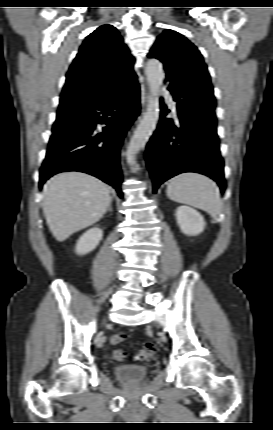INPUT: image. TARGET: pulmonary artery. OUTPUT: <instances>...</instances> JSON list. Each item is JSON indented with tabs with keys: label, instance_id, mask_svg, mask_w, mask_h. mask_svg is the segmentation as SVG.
Here are the masks:
<instances>
[{
	"label": "pulmonary artery",
	"instance_id": "obj_1",
	"mask_svg": "<svg viewBox=\"0 0 273 430\" xmlns=\"http://www.w3.org/2000/svg\"><path fill=\"white\" fill-rule=\"evenodd\" d=\"M161 94L168 100V102H169V104H170V106L172 108V111L176 114V112H177L176 104L173 101L170 93L165 88H162L161 89Z\"/></svg>",
	"mask_w": 273,
	"mask_h": 430
}]
</instances>
